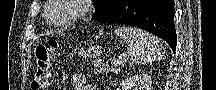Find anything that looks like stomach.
I'll return each instance as SVG.
<instances>
[{"label":"stomach","instance_id":"obj_1","mask_svg":"<svg viewBox=\"0 0 216 90\" xmlns=\"http://www.w3.org/2000/svg\"><path fill=\"white\" fill-rule=\"evenodd\" d=\"M83 56H88V57H92V56H100L102 54V48L101 47H92L89 48L86 51H82L81 53Z\"/></svg>","mask_w":216,"mask_h":90}]
</instances>
